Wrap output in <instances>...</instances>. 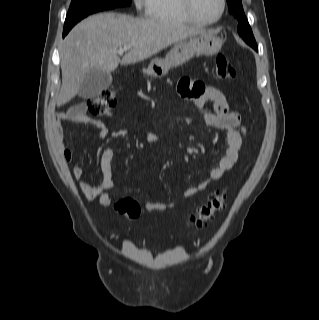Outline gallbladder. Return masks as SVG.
<instances>
[{
	"label": "gallbladder",
	"mask_w": 319,
	"mask_h": 320,
	"mask_svg": "<svg viewBox=\"0 0 319 320\" xmlns=\"http://www.w3.org/2000/svg\"><path fill=\"white\" fill-rule=\"evenodd\" d=\"M112 83L110 73L95 69L84 77L78 95L81 98H94L106 90Z\"/></svg>",
	"instance_id": "bac80fb5"
}]
</instances>
